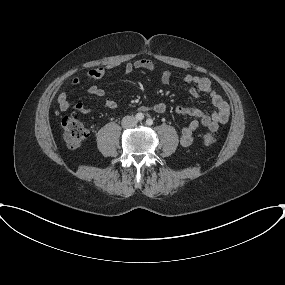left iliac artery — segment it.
Here are the masks:
<instances>
[{
	"label": "left iliac artery",
	"mask_w": 285,
	"mask_h": 285,
	"mask_svg": "<svg viewBox=\"0 0 285 285\" xmlns=\"http://www.w3.org/2000/svg\"><path fill=\"white\" fill-rule=\"evenodd\" d=\"M146 124L149 125V126H151V125L153 124V120L150 119V118L147 119V120H146Z\"/></svg>",
	"instance_id": "1"
}]
</instances>
